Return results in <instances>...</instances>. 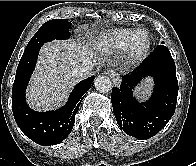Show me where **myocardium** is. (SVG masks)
<instances>
[{"label": "myocardium", "mask_w": 196, "mask_h": 166, "mask_svg": "<svg viewBox=\"0 0 196 166\" xmlns=\"http://www.w3.org/2000/svg\"><path fill=\"white\" fill-rule=\"evenodd\" d=\"M141 33L144 34L146 37L145 44L141 48H135L132 45V40L137 34H141ZM127 45H128L127 53H128L129 60L132 63H139V62L143 61L147 57V55L149 54L150 47H151L150 35L144 29L134 30V31H132V33L129 35V37L127 39Z\"/></svg>", "instance_id": "f54148a6"}]
</instances>
